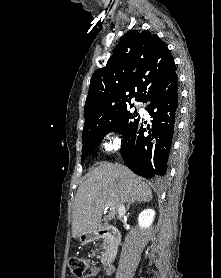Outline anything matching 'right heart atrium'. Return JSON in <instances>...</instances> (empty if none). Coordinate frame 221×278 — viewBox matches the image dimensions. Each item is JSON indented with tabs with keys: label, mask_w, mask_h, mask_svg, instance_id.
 Wrapping results in <instances>:
<instances>
[{
	"label": "right heart atrium",
	"mask_w": 221,
	"mask_h": 278,
	"mask_svg": "<svg viewBox=\"0 0 221 278\" xmlns=\"http://www.w3.org/2000/svg\"><path fill=\"white\" fill-rule=\"evenodd\" d=\"M120 144H121V140L119 136L112 135L107 137V140L104 142V147L107 150H114L117 149L120 146Z\"/></svg>",
	"instance_id": "1"
}]
</instances>
